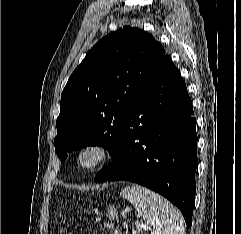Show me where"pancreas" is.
I'll return each instance as SVG.
<instances>
[{
    "label": "pancreas",
    "instance_id": "pancreas-1",
    "mask_svg": "<svg viewBox=\"0 0 241 234\" xmlns=\"http://www.w3.org/2000/svg\"><path fill=\"white\" fill-rule=\"evenodd\" d=\"M113 234H124L121 230H116Z\"/></svg>",
    "mask_w": 241,
    "mask_h": 234
}]
</instances>
